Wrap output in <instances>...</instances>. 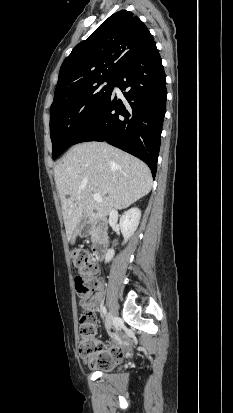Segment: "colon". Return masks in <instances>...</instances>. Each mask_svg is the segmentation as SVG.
<instances>
[{
    "mask_svg": "<svg viewBox=\"0 0 233 413\" xmlns=\"http://www.w3.org/2000/svg\"><path fill=\"white\" fill-rule=\"evenodd\" d=\"M73 266L77 269L75 288L81 297L87 296L97 286L96 274L98 265L91 259L87 249L78 248L71 252ZM79 355L91 366L104 369L111 368L118 363L122 356H100V343L96 338V316L94 311L86 310L80 318L79 324Z\"/></svg>",
    "mask_w": 233,
    "mask_h": 413,
    "instance_id": "obj_1",
    "label": "colon"
}]
</instances>
